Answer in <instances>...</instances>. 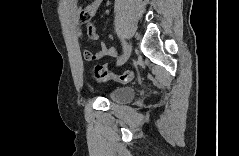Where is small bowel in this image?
<instances>
[{
	"mask_svg": "<svg viewBox=\"0 0 239 156\" xmlns=\"http://www.w3.org/2000/svg\"><path fill=\"white\" fill-rule=\"evenodd\" d=\"M67 4H68V10L70 11V13L73 16L74 25L76 26L77 34H78L79 38L81 40H83L82 25L85 22H83L79 18L80 13L82 11H86L90 16V19H92L98 11V8L101 4V0H93L83 10L74 1H68ZM87 34L93 40H98V38H99L95 26L90 22L87 24ZM114 55H115V51L112 50L111 48H109L105 43L100 44L99 50L96 53H92L89 51L85 52L86 58L89 60H92V61L100 60L104 57L114 56Z\"/></svg>",
	"mask_w": 239,
	"mask_h": 156,
	"instance_id": "1",
	"label": "small bowel"
}]
</instances>
